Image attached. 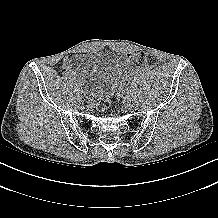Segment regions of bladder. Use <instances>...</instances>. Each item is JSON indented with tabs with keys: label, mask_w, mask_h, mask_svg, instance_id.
Listing matches in <instances>:
<instances>
[{
	"label": "bladder",
	"mask_w": 218,
	"mask_h": 218,
	"mask_svg": "<svg viewBox=\"0 0 218 218\" xmlns=\"http://www.w3.org/2000/svg\"><path fill=\"white\" fill-rule=\"evenodd\" d=\"M79 63L92 94L105 92L119 79L118 57L112 52L85 53Z\"/></svg>",
	"instance_id": "obj_1"
}]
</instances>
